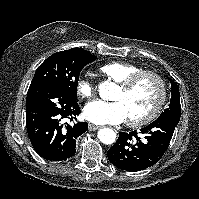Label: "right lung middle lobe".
Returning <instances> with one entry per match:
<instances>
[{
	"label": "right lung middle lobe",
	"instance_id": "right-lung-middle-lobe-1",
	"mask_svg": "<svg viewBox=\"0 0 199 199\" xmlns=\"http://www.w3.org/2000/svg\"><path fill=\"white\" fill-rule=\"evenodd\" d=\"M95 59L96 56L84 49L54 53L37 68L30 86L51 83L76 99L79 73Z\"/></svg>",
	"mask_w": 199,
	"mask_h": 199
}]
</instances>
